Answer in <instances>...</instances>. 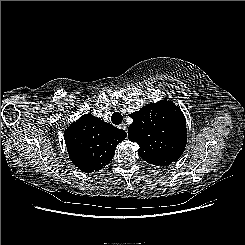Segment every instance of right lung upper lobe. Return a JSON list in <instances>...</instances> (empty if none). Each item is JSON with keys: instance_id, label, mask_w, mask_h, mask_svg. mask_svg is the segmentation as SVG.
Wrapping results in <instances>:
<instances>
[{"instance_id": "right-lung-upper-lobe-1", "label": "right lung upper lobe", "mask_w": 245, "mask_h": 245, "mask_svg": "<svg viewBox=\"0 0 245 245\" xmlns=\"http://www.w3.org/2000/svg\"><path fill=\"white\" fill-rule=\"evenodd\" d=\"M65 143L72 163L91 173L104 168L126 132L88 113L65 129Z\"/></svg>"}]
</instances>
